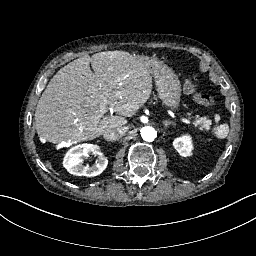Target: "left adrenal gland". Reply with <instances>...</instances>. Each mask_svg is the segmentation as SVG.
Returning a JSON list of instances; mask_svg holds the SVG:
<instances>
[{
    "mask_svg": "<svg viewBox=\"0 0 256 256\" xmlns=\"http://www.w3.org/2000/svg\"><path fill=\"white\" fill-rule=\"evenodd\" d=\"M165 124H166V125H170V124H174V123H173L172 121H168V120H167V121H165Z\"/></svg>",
    "mask_w": 256,
    "mask_h": 256,
    "instance_id": "1",
    "label": "left adrenal gland"
}]
</instances>
